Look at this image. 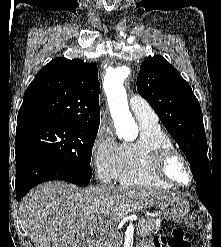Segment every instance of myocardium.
<instances>
[{"mask_svg":"<svg viewBox=\"0 0 221 247\" xmlns=\"http://www.w3.org/2000/svg\"><path fill=\"white\" fill-rule=\"evenodd\" d=\"M179 160L185 167L188 181L182 183L175 179L169 171L172 161ZM152 172L162 181L173 186L187 187L193 182V172L186 157L175 147L158 146L149 155Z\"/></svg>","mask_w":221,"mask_h":247,"instance_id":"f54148a6","label":"myocardium"}]
</instances>
